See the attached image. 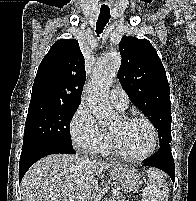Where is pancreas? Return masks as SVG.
<instances>
[{
	"instance_id": "1",
	"label": "pancreas",
	"mask_w": 196,
	"mask_h": 201,
	"mask_svg": "<svg viewBox=\"0 0 196 201\" xmlns=\"http://www.w3.org/2000/svg\"><path fill=\"white\" fill-rule=\"evenodd\" d=\"M113 201H125V200L122 198H115Z\"/></svg>"
}]
</instances>
